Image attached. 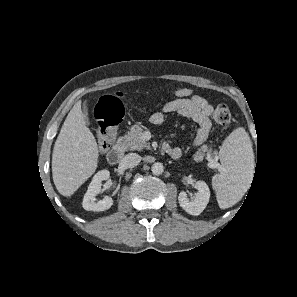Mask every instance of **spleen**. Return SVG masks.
<instances>
[{"instance_id": "1", "label": "spleen", "mask_w": 297, "mask_h": 297, "mask_svg": "<svg viewBox=\"0 0 297 297\" xmlns=\"http://www.w3.org/2000/svg\"><path fill=\"white\" fill-rule=\"evenodd\" d=\"M220 173L212 185L219 200L236 203L250 183L254 168L252 142L244 128L235 129L224 141L219 152Z\"/></svg>"}]
</instances>
